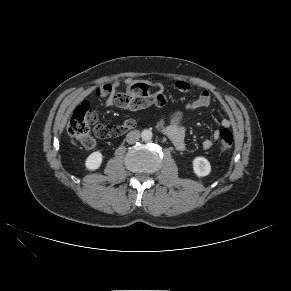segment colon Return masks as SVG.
Wrapping results in <instances>:
<instances>
[{
  "label": "colon",
  "mask_w": 291,
  "mask_h": 291,
  "mask_svg": "<svg viewBox=\"0 0 291 291\" xmlns=\"http://www.w3.org/2000/svg\"><path fill=\"white\" fill-rule=\"evenodd\" d=\"M96 122V113L90 108L88 102L83 101L75 107L67 126V133L84 146L91 147L94 142L91 136V128L96 137L104 139L119 136L135 126V121L132 119L126 120L120 125H100ZM232 145L233 135L231 131L223 129L219 135V151L226 152Z\"/></svg>",
  "instance_id": "obj_1"
}]
</instances>
